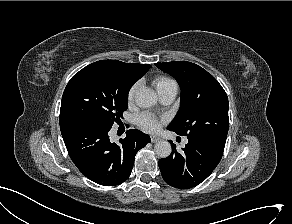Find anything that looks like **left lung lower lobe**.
<instances>
[{"instance_id":"left-lung-lower-lobe-1","label":"left lung lower lobe","mask_w":292,"mask_h":224,"mask_svg":"<svg viewBox=\"0 0 292 224\" xmlns=\"http://www.w3.org/2000/svg\"><path fill=\"white\" fill-rule=\"evenodd\" d=\"M189 142L180 154L171 142L173 152L159 160V168L164 181L172 187L187 189L204 181L220 162L224 146L200 140Z\"/></svg>"}]
</instances>
